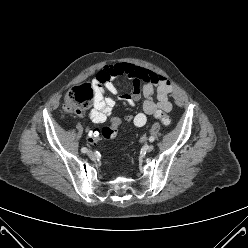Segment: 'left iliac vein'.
Masks as SVG:
<instances>
[{
    "label": "left iliac vein",
    "instance_id": "obj_1",
    "mask_svg": "<svg viewBox=\"0 0 248 248\" xmlns=\"http://www.w3.org/2000/svg\"><path fill=\"white\" fill-rule=\"evenodd\" d=\"M153 149H154V146H153L152 144H150V145L146 148V151H147V152H151V151H153Z\"/></svg>",
    "mask_w": 248,
    "mask_h": 248
}]
</instances>
